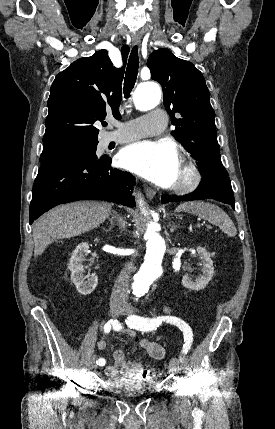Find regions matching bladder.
<instances>
[{"label": "bladder", "mask_w": 275, "mask_h": 429, "mask_svg": "<svg viewBox=\"0 0 275 429\" xmlns=\"http://www.w3.org/2000/svg\"><path fill=\"white\" fill-rule=\"evenodd\" d=\"M108 382L116 398H143L144 393H156V384H148V378H116Z\"/></svg>", "instance_id": "bladder-1"}]
</instances>
